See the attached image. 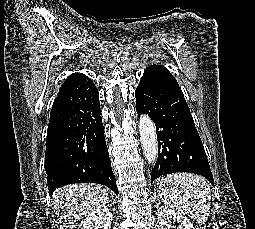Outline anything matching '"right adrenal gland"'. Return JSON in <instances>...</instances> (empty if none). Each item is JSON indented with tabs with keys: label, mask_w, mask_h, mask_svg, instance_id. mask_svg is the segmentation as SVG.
Returning <instances> with one entry per match:
<instances>
[{
	"label": "right adrenal gland",
	"mask_w": 255,
	"mask_h": 229,
	"mask_svg": "<svg viewBox=\"0 0 255 229\" xmlns=\"http://www.w3.org/2000/svg\"><path fill=\"white\" fill-rule=\"evenodd\" d=\"M115 203H116V201L114 200V201H113V204H115Z\"/></svg>",
	"instance_id": "2a0ac1e0"
}]
</instances>
